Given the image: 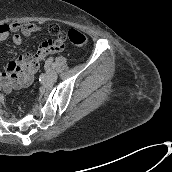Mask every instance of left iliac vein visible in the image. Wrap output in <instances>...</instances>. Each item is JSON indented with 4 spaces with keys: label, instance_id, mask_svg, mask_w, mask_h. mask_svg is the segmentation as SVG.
<instances>
[{
    "label": "left iliac vein",
    "instance_id": "left-iliac-vein-1",
    "mask_svg": "<svg viewBox=\"0 0 172 172\" xmlns=\"http://www.w3.org/2000/svg\"><path fill=\"white\" fill-rule=\"evenodd\" d=\"M47 81L53 83L57 80V73L53 70L48 69L46 72Z\"/></svg>",
    "mask_w": 172,
    "mask_h": 172
}]
</instances>
